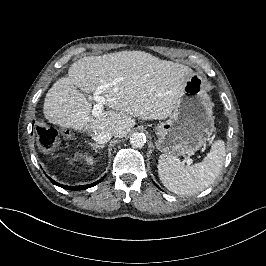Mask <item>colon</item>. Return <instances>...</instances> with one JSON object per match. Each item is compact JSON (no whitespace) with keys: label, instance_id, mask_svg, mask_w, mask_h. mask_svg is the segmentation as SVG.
I'll return each mask as SVG.
<instances>
[{"label":"colon","instance_id":"5ec220e1","mask_svg":"<svg viewBox=\"0 0 266 266\" xmlns=\"http://www.w3.org/2000/svg\"><path fill=\"white\" fill-rule=\"evenodd\" d=\"M36 132L38 135V144L42 150L51 151L58 146L59 133L53 126L40 124L36 128Z\"/></svg>","mask_w":266,"mask_h":266}]
</instances>
